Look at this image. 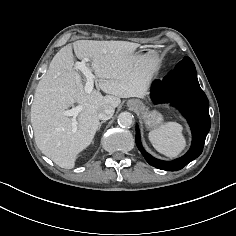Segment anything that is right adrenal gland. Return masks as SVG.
<instances>
[{
    "label": "right adrenal gland",
    "mask_w": 236,
    "mask_h": 236,
    "mask_svg": "<svg viewBox=\"0 0 236 236\" xmlns=\"http://www.w3.org/2000/svg\"><path fill=\"white\" fill-rule=\"evenodd\" d=\"M106 121H101L100 122V124H99V127H98V130L101 128V125L103 124V123H105Z\"/></svg>",
    "instance_id": "obj_1"
}]
</instances>
